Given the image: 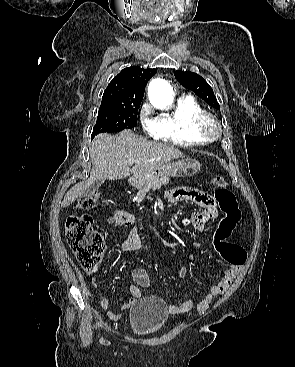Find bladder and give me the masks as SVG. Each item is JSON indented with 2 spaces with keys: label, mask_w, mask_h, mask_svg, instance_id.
<instances>
[{
  "label": "bladder",
  "mask_w": 295,
  "mask_h": 367,
  "mask_svg": "<svg viewBox=\"0 0 295 367\" xmlns=\"http://www.w3.org/2000/svg\"><path fill=\"white\" fill-rule=\"evenodd\" d=\"M169 311L166 302L155 296L139 299L130 309V329L137 336H152L165 326Z\"/></svg>",
  "instance_id": "1"
}]
</instances>
